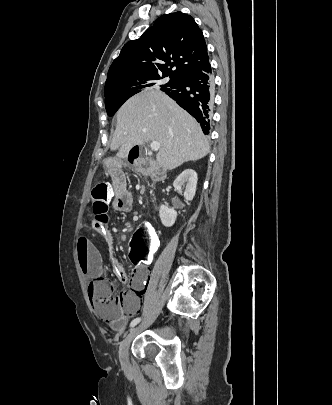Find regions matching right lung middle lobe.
I'll use <instances>...</instances> for the list:
<instances>
[{
	"label": "right lung middle lobe",
	"mask_w": 332,
	"mask_h": 405,
	"mask_svg": "<svg viewBox=\"0 0 332 405\" xmlns=\"http://www.w3.org/2000/svg\"><path fill=\"white\" fill-rule=\"evenodd\" d=\"M169 76L167 83L162 81ZM179 76L173 75H143L130 76L115 82L105 88V106L108 116H113L120 106L134 94L146 89H160L164 92L175 88L179 82Z\"/></svg>",
	"instance_id": "dd1d6c3e"
}]
</instances>
